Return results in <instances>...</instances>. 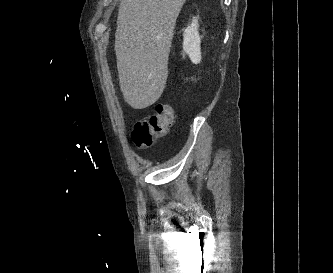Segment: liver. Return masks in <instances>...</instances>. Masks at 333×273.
Wrapping results in <instances>:
<instances>
[{"label":"liver","instance_id":"1","mask_svg":"<svg viewBox=\"0 0 333 273\" xmlns=\"http://www.w3.org/2000/svg\"><path fill=\"white\" fill-rule=\"evenodd\" d=\"M186 0H122L115 52L120 88L134 109L153 105L168 77L177 17Z\"/></svg>","mask_w":333,"mask_h":273}]
</instances>
